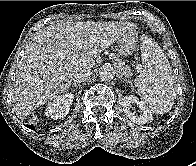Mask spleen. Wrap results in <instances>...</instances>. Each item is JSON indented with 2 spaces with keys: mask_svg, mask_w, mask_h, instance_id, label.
<instances>
[{
  "mask_svg": "<svg viewBox=\"0 0 196 166\" xmlns=\"http://www.w3.org/2000/svg\"><path fill=\"white\" fill-rule=\"evenodd\" d=\"M141 50L144 68L136 79L138 95L153 113L164 114L174 104L176 76L163 50L151 38H144Z\"/></svg>",
  "mask_w": 196,
  "mask_h": 166,
  "instance_id": "obj_1",
  "label": "spleen"
}]
</instances>
